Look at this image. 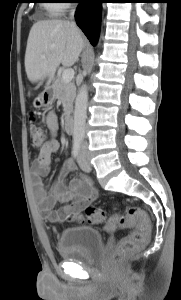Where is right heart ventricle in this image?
<instances>
[{
    "label": "right heart ventricle",
    "mask_w": 181,
    "mask_h": 300,
    "mask_svg": "<svg viewBox=\"0 0 181 300\" xmlns=\"http://www.w3.org/2000/svg\"><path fill=\"white\" fill-rule=\"evenodd\" d=\"M46 9L51 16H58L63 12V8L58 3L46 4Z\"/></svg>",
    "instance_id": "obj_1"
}]
</instances>
